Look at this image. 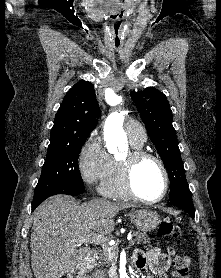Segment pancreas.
<instances>
[{
    "instance_id": "cf45deb5",
    "label": "pancreas",
    "mask_w": 221,
    "mask_h": 278,
    "mask_svg": "<svg viewBox=\"0 0 221 278\" xmlns=\"http://www.w3.org/2000/svg\"><path fill=\"white\" fill-rule=\"evenodd\" d=\"M133 236L135 237V240H137V244H141L143 243H149L150 238L148 237V235L146 233H141V232H136L133 233ZM135 241H133L134 244ZM113 255L115 256V258H117L118 256V247L117 246H112L111 247ZM102 262H100V265H107L110 263V257L108 254V251L106 249H103V251L100 253L99 257H98ZM95 266L100 267L99 264L94 263ZM108 273L109 271L107 269H103V268H99L96 269L95 272L92 274V276L90 278H107L108 277Z\"/></svg>"
}]
</instances>
